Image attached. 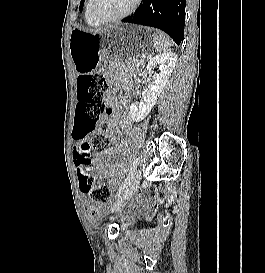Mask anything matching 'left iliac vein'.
<instances>
[{
  "instance_id": "left-iliac-vein-1",
  "label": "left iliac vein",
  "mask_w": 265,
  "mask_h": 273,
  "mask_svg": "<svg viewBox=\"0 0 265 273\" xmlns=\"http://www.w3.org/2000/svg\"><path fill=\"white\" fill-rule=\"evenodd\" d=\"M141 176L142 174L140 170H137L133 174L127 189L125 190L124 194L121 197H119L117 202L113 205L112 211H118L120 208L126 205V203L131 199L133 193L135 192L140 182Z\"/></svg>"
}]
</instances>
